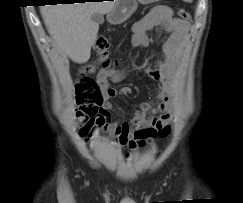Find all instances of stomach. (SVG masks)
<instances>
[{
	"label": "stomach",
	"mask_w": 243,
	"mask_h": 203,
	"mask_svg": "<svg viewBox=\"0 0 243 203\" xmlns=\"http://www.w3.org/2000/svg\"><path fill=\"white\" fill-rule=\"evenodd\" d=\"M160 0H116L114 8L107 13L109 23L116 25L125 22L136 11L137 3L146 5Z\"/></svg>",
	"instance_id": "obj_1"
}]
</instances>
